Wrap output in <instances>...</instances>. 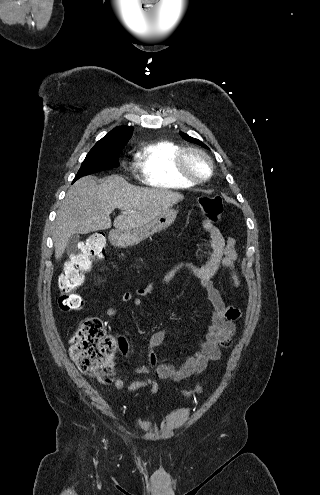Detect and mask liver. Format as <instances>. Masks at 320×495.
I'll use <instances>...</instances> for the list:
<instances>
[{
	"mask_svg": "<svg viewBox=\"0 0 320 495\" xmlns=\"http://www.w3.org/2000/svg\"><path fill=\"white\" fill-rule=\"evenodd\" d=\"M183 199L182 194L170 190L133 186L119 175L100 184L93 177H83L67 191L57 212L52 236L55 258L62 257L71 235L110 229V214L116 208L121 215L113 225L124 231L149 223Z\"/></svg>",
	"mask_w": 320,
	"mask_h": 495,
	"instance_id": "liver-1",
	"label": "liver"
}]
</instances>
